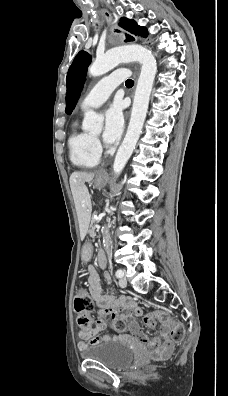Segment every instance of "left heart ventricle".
Listing matches in <instances>:
<instances>
[{
	"label": "left heart ventricle",
	"mask_w": 228,
	"mask_h": 396,
	"mask_svg": "<svg viewBox=\"0 0 228 396\" xmlns=\"http://www.w3.org/2000/svg\"><path fill=\"white\" fill-rule=\"evenodd\" d=\"M101 134V132H98L96 135L99 136Z\"/></svg>",
	"instance_id": "obj_1"
}]
</instances>
